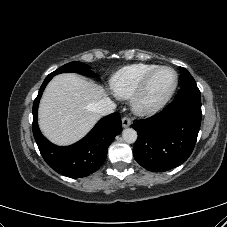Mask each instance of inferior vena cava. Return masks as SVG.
Instances as JSON below:
<instances>
[{"mask_svg": "<svg viewBox=\"0 0 227 227\" xmlns=\"http://www.w3.org/2000/svg\"><path fill=\"white\" fill-rule=\"evenodd\" d=\"M116 105L109 98H102L95 103V110L101 115H108L114 112Z\"/></svg>", "mask_w": 227, "mask_h": 227, "instance_id": "602c4592", "label": "inferior vena cava"}]
</instances>
